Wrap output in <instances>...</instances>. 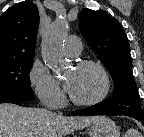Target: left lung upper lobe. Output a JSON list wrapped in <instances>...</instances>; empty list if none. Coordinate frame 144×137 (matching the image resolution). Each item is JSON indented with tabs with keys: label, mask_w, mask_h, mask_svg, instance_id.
Here are the masks:
<instances>
[{
	"label": "left lung upper lobe",
	"mask_w": 144,
	"mask_h": 137,
	"mask_svg": "<svg viewBox=\"0 0 144 137\" xmlns=\"http://www.w3.org/2000/svg\"><path fill=\"white\" fill-rule=\"evenodd\" d=\"M79 29L87 43L109 70L115 88L113 98L102 101L108 107L141 108L132 75L130 45L123 27L105 11L84 9Z\"/></svg>",
	"instance_id": "5c2ea615"
}]
</instances>
